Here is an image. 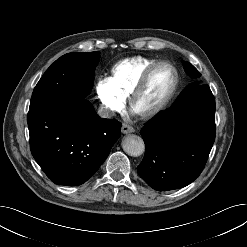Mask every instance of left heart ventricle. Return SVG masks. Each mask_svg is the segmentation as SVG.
<instances>
[{
    "label": "left heart ventricle",
    "instance_id": "b2bd125f",
    "mask_svg": "<svg viewBox=\"0 0 247 247\" xmlns=\"http://www.w3.org/2000/svg\"><path fill=\"white\" fill-rule=\"evenodd\" d=\"M174 82V72L168 65L158 67L150 76L143 92L134 103V112L145 113L166 97Z\"/></svg>",
    "mask_w": 247,
    "mask_h": 247
}]
</instances>
